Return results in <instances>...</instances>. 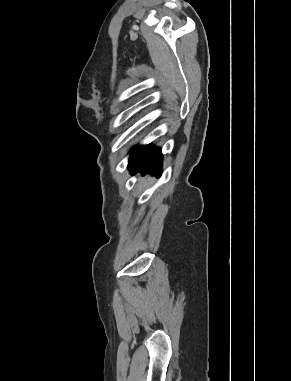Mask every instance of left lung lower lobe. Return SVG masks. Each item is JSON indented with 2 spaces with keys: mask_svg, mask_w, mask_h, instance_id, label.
Listing matches in <instances>:
<instances>
[{
  "mask_svg": "<svg viewBox=\"0 0 291 381\" xmlns=\"http://www.w3.org/2000/svg\"><path fill=\"white\" fill-rule=\"evenodd\" d=\"M161 166V150L151 145L137 147L129 157L128 168L132 175L141 171L143 174L150 172L160 176Z\"/></svg>",
  "mask_w": 291,
  "mask_h": 381,
  "instance_id": "obj_1",
  "label": "left lung lower lobe"
}]
</instances>
